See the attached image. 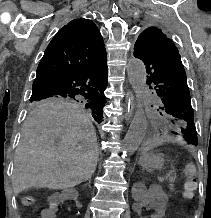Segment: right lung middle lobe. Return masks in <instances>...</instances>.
Here are the masks:
<instances>
[{"instance_id":"right-lung-middle-lobe-1","label":"right lung middle lobe","mask_w":211,"mask_h":218,"mask_svg":"<svg viewBox=\"0 0 211 218\" xmlns=\"http://www.w3.org/2000/svg\"><path fill=\"white\" fill-rule=\"evenodd\" d=\"M30 107L32 109H46V108H58L79 106L92 110L94 119L101 122L103 118V107L106 103V99L103 97H44L30 99Z\"/></svg>"}]
</instances>
